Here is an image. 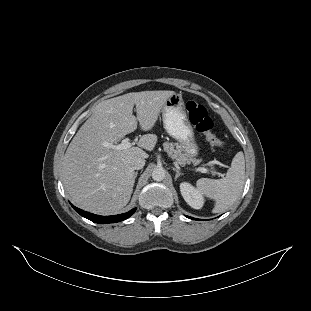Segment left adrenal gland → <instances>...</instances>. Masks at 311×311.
I'll use <instances>...</instances> for the list:
<instances>
[{
    "instance_id": "a2214340",
    "label": "left adrenal gland",
    "mask_w": 311,
    "mask_h": 311,
    "mask_svg": "<svg viewBox=\"0 0 311 311\" xmlns=\"http://www.w3.org/2000/svg\"><path fill=\"white\" fill-rule=\"evenodd\" d=\"M173 171L176 172L174 180H177L180 176H182V173H180L177 169L173 168Z\"/></svg>"
}]
</instances>
